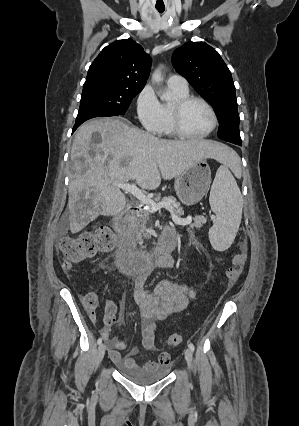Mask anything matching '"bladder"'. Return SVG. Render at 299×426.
<instances>
[{
  "instance_id": "1",
  "label": "bladder",
  "mask_w": 299,
  "mask_h": 426,
  "mask_svg": "<svg viewBox=\"0 0 299 426\" xmlns=\"http://www.w3.org/2000/svg\"><path fill=\"white\" fill-rule=\"evenodd\" d=\"M121 372L133 383L149 385L165 378L169 373V368L166 366H157L152 368L123 369Z\"/></svg>"
}]
</instances>
